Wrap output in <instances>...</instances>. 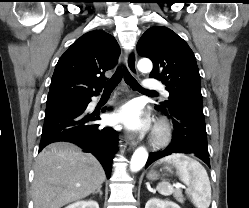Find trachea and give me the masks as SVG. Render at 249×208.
<instances>
[{"instance_id":"trachea-1","label":"trachea","mask_w":249,"mask_h":208,"mask_svg":"<svg viewBox=\"0 0 249 208\" xmlns=\"http://www.w3.org/2000/svg\"><path fill=\"white\" fill-rule=\"evenodd\" d=\"M124 75V80L125 82L133 89V90H138L142 93L145 94H150V95H156L157 93L155 91H146L144 90L137 80L129 73V71L124 68L118 69L116 73L112 76L111 79H109L107 82L102 84V87L104 88V92H112L115 87L118 85L120 82L122 76Z\"/></svg>"}]
</instances>
